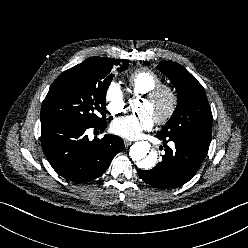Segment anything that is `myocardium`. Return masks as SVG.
<instances>
[{"instance_id": "1", "label": "myocardium", "mask_w": 248, "mask_h": 248, "mask_svg": "<svg viewBox=\"0 0 248 248\" xmlns=\"http://www.w3.org/2000/svg\"><path fill=\"white\" fill-rule=\"evenodd\" d=\"M163 96L168 98V107L163 115L154 120L159 125L167 123L174 116L179 103L178 95L171 86L166 84H160L144 95V98L149 101H156Z\"/></svg>"}]
</instances>
